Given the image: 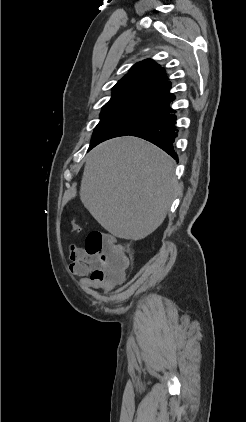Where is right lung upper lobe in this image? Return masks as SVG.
Wrapping results in <instances>:
<instances>
[{"mask_svg":"<svg viewBox=\"0 0 246 422\" xmlns=\"http://www.w3.org/2000/svg\"><path fill=\"white\" fill-rule=\"evenodd\" d=\"M165 69L152 59L133 65L113 87L111 99L103 107H138L163 110L175 100L170 93Z\"/></svg>","mask_w":246,"mask_h":422,"instance_id":"obj_1","label":"right lung upper lobe"}]
</instances>
